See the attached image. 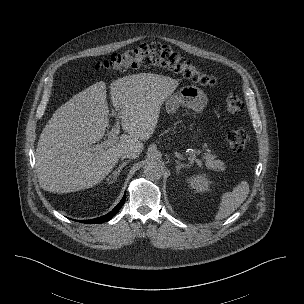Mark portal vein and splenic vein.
Segmentation results:
<instances>
[{"label": "portal vein and splenic vein", "mask_w": 304, "mask_h": 304, "mask_svg": "<svg viewBox=\"0 0 304 304\" xmlns=\"http://www.w3.org/2000/svg\"><path fill=\"white\" fill-rule=\"evenodd\" d=\"M119 133H120V120L117 119L114 127L108 133V139L106 141H103L101 144L96 145L94 149L95 150H100L101 148H104L106 146H111V145L115 144L117 139H118ZM192 160H194L197 163L201 162L195 156L192 157Z\"/></svg>", "instance_id": "portal-vein-and-splenic-vein-1"}]
</instances>
